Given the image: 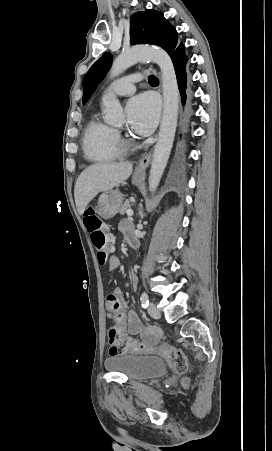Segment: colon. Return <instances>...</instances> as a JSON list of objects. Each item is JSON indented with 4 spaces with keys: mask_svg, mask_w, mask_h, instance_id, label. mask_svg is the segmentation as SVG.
<instances>
[{
    "mask_svg": "<svg viewBox=\"0 0 272 451\" xmlns=\"http://www.w3.org/2000/svg\"><path fill=\"white\" fill-rule=\"evenodd\" d=\"M84 224L90 232L91 241L96 249L98 264L105 265L108 262L111 248V243L109 242L110 231L101 229L102 221L94 212L86 213ZM106 340L111 356H122L128 351H134L137 354L149 353V346L145 342H131L129 338L118 339L115 327H107ZM162 352L163 354H168L169 367H173L178 373L186 372V358L184 354L179 353L180 347L178 345H163ZM183 385L188 386L189 381L184 380Z\"/></svg>",
    "mask_w": 272,
    "mask_h": 451,
    "instance_id": "obj_1",
    "label": "colon"
}]
</instances>
